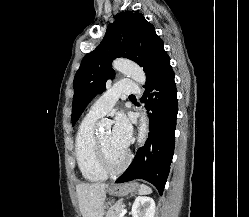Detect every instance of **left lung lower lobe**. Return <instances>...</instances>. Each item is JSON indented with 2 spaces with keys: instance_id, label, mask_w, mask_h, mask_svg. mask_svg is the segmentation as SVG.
<instances>
[{
  "instance_id": "0a47b994",
  "label": "left lung lower lobe",
  "mask_w": 249,
  "mask_h": 217,
  "mask_svg": "<svg viewBox=\"0 0 249 217\" xmlns=\"http://www.w3.org/2000/svg\"><path fill=\"white\" fill-rule=\"evenodd\" d=\"M174 76L168 56L145 86L143 101L149 114V137L116 183L143 179L152 183L162 195L175 144L178 105Z\"/></svg>"
}]
</instances>
